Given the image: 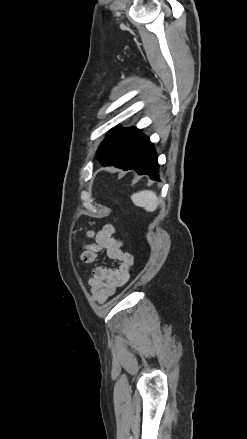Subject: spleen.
Returning a JSON list of instances; mask_svg holds the SVG:
<instances>
[{
    "label": "spleen",
    "mask_w": 247,
    "mask_h": 439,
    "mask_svg": "<svg viewBox=\"0 0 247 439\" xmlns=\"http://www.w3.org/2000/svg\"><path fill=\"white\" fill-rule=\"evenodd\" d=\"M131 200L135 206L144 208L147 212H154L159 204L156 193L150 190H143L134 193Z\"/></svg>",
    "instance_id": "spleen-1"
}]
</instances>
